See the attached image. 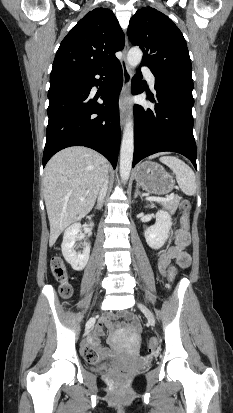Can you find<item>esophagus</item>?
Wrapping results in <instances>:
<instances>
[{
  "mask_svg": "<svg viewBox=\"0 0 233 413\" xmlns=\"http://www.w3.org/2000/svg\"><path fill=\"white\" fill-rule=\"evenodd\" d=\"M128 49H129V43H128V39L126 38L125 46L123 48V56L120 61L121 67H122V73H123V85H122L120 98H119V117H120L121 127H123L126 122L127 95L129 92L130 82H131V73H130V69L127 63V59H126Z\"/></svg>",
  "mask_w": 233,
  "mask_h": 413,
  "instance_id": "obj_1",
  "label": "esophagus"
}]
</instances>
